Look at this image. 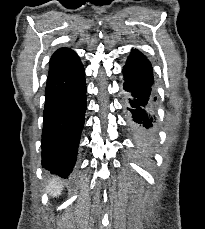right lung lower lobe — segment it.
<instances>
[{
  "mask_svg": "<svg viewBox=\"0 0 205 229\" xmlns=\"http://www.w3.org/2000/svg\"><path fill=\"white\" fill-rule=\"evenodd\" d=\"M85 71L58 50L50 59L45 89L42 165L67 177L73 170L86 111Z\"/></svg>",
  "mask_w": 205,
  "mask_h": 229,
  "instance_id": "1",
  "label": "right lung lower lobe"
}]
</instances>
